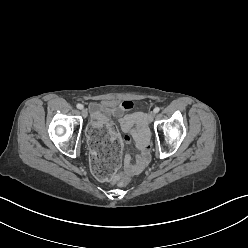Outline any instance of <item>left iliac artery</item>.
<instances>
[{
    "instance_id": "left-iliac-artery-1",
    "label": "left iliac artery",
    "mask_w": 248,
    "mask_h": 248,
    "mask_svg": "<svg viewBox=\"0 0 248 248\" xmlns=\"http://www.w3.org/2000/svg\"><path fill=\"white\" fill-rule=\"evenodd\" d=\"M153 111H154V113H158L160 111V108L159 107H155Z\"/></svg>"
}]
</instances>
